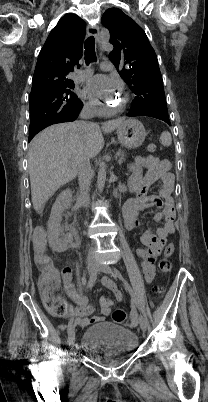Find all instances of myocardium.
Listing matches in <instances>:
<instances>
[{"label":"myocardium","mask_w":208,"mask_h":402,"mask_svg":"<svg viewBox=\"0 0 208 402\" xmlns=\"http://www.w3.org/2000/svg\"><path fill=\"white\" fill-rule=\"evenodd\" d=\"M121 92H123V89H121ZM129 100V96L127 94H123L122 97L118 99L115 103L116 106H118L119 108H124L129 103Z\"/></svg>","instance_id":"f54148a6"}]
</instances>
